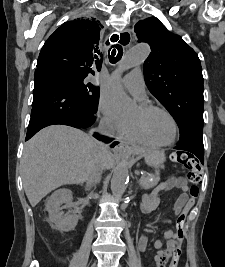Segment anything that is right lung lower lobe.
<instances>
[{
	"mask_svg": "<svg viewBox=\"0 0 225 267\" xmlns=\"http://www.w3.org/2000/svg\"><path fill=\"white\" fill-rule=\"evenodd\" d=\"M95 120V116L59 73L44 68L35 70L32 111L25 140L49 125L87 128ZM95 137L101 139L97 135Z\"/></svg>",
	"mask_w": 225,
	"mask_h": 267,
	"instance_id": "1",
	"label": "right lung lower lobe"
}]
</instances>
